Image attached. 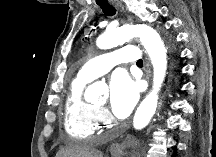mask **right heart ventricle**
<instances>
[{"instance_id":"right-heart-ventricle-1","label":"right heart ventricle","mask_w":216,"mask_h":157,"mask_svg":"<svg viewBox=\"0 0 216 157\" xmlns=\"http://www.w3.org/2000/svg\"><path fill=\"white\" fill-rule=\"evenodd\" d=\"M88 82L76 76L70 83L65 99L64 129L76 138H90L99 127L96 121L97 107L83 95Z\"/></svg>"}]
</instances>
